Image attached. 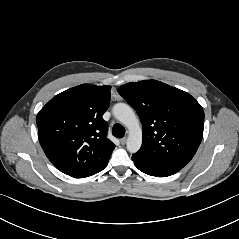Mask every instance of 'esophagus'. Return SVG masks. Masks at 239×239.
Masks as SVG:
<instances>
[{
  "label": "esophagus",
  "mask_w": 239,
  "mask_h": 239,
  "mask_svg": "<svg viewBox=\"0 0 239 239\" xmlns=\"http://www.w3.org/2000/svg\"><path fill=\"white\" fill-rule=\"evenodd\" d=\"M120 142H121L122 145H125L126 142H127V138H126V137L122 138V139L120 140Z\"/></svg>",
  "instance_id": "obj_1"
}]
</instances>
